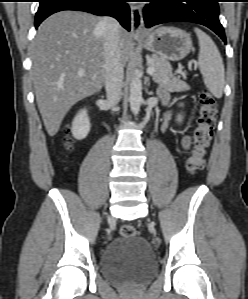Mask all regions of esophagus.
Wrapping results in <instances>:
<instances>
[{
    "label": "esophagus",
    "mask_w": 248,
    "mask_h": 299,
    "mask_svg": "<svg viewBox=\"0 0 248 299\" xmlns=\"http://www.w3.org/2000/svg\"><path fill=\"white\" fill-rule=\"evenodd\" d=\"M131 32L134 38L138 39L145 35L142 19V10L139 5H131Z\"/></svg>",
    "instance_id": "esophagus-1"
}]
</instances>
